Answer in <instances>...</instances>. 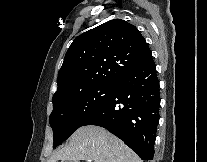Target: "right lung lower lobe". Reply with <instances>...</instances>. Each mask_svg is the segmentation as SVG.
<instances>
[{"label":"right lung lower lobe","instance_id":"1","mask_svg":"<svg viewBox=\"0 0 207 162\" xmlns=\"http://www.w3.org/2000/svg\"><path fill=\"white\" fill-rule=\"evenodd\" d=\"M160 92L153 59L114 82L107 102L84 123L97 125L123 140L142 160H152L159 121Z\"/></svg>","mask_w":207,"mask_h":162}]
</instances>
